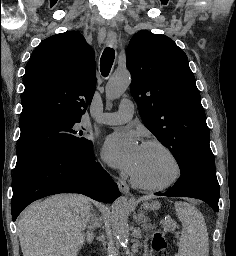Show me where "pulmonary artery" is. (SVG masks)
Here are the masks:
<instances>
[{
  "label": "pulmonary artery",
  "mask_w": 236,
  "mask_h": 256,
  "mask_svg": "<svg viewBox=\"0 0 236 256\" xmlns=\"http://www.w3.org/2000/svg\"><path fill=\"white\" fill-rule=\"evenodd\" d=\"M131 101H120V108L116 112L106 113L98 119L99 122L107 125H119L129 121L134 114Z\"/></svg>",
  "instance_id": "e3ab8cb5"
}]
</instances>
